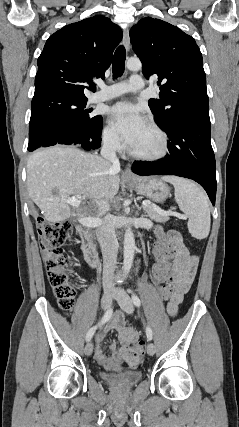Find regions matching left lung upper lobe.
Segmentation results:
<instances>
[{
  "label": "left lung upper lobe",
  "instance_id": "obj_1",
  "mask_svg": "<svg viewBox=\"0 0 239 427\" xmlns=\"http://www.w3.org/2000/svg\"><path fill=\"white\" fill-rule=\"evenodd\" d=\"M133 50L148 79L157 75L160 99L149 107L159 127L177 119L210 122L202 54L195 40L165 21L146 17L130 30Z\"/></svg>",
  "mask_w": 239,
  "mask_h": 427
}]
</instances>
